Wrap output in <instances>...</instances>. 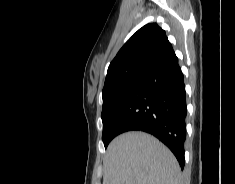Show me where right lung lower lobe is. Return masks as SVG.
Masks as SVG:
<instances>
[{
    "mask_svg": "<svg viewBox=\"0 0 235 184\" xmlns=\"http://www.w3.org/2000/svg\"><path fill=\"white\" fill-rule=\"evenodd\" d=\"M186 95L184 76L175 53L151 70L128 94L111 131H144L157 137L184 168L186 137Z\"/></svg>",
    "mask_w": 235,
    "mask_h": 184,
    "instance_id": "1",
    "label": "right lung lower lobe"
}]
</instances>
